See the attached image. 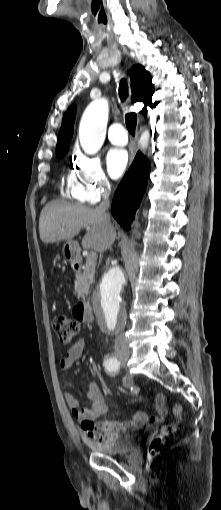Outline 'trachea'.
Segmentation results:
<instances>
[{
  "instance_id": "obj_1",
  "label": "trachea",
  "mask_w": 221,
  "mask_h": 510,
  "mask_svg": "<svg viewBox=\"0 0 221 510\" xmlns=\"http://www.w3.org/2000/svg\"><path fill=\"white\" fill-rule=\"evenodd\" d=\"M119 96L121 101H125L128 96V87L125 79L121 80L120 88H119ZM126 127L130 134L135 135L136 123H137V115L134 112L127 113L125 116Z\"/></svg>"
}]
</instances>
